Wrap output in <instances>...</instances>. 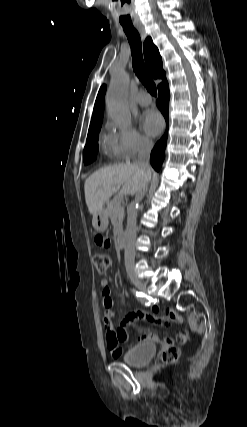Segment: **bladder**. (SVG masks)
Listing matches in <instances>:
<instances>
[{"mask_svg": "<svg viewBox=\"0 0 247 427\" xmlns=\"http://www.w3.org/2000/svg\"><path fill=\"white\" fill-rule=\"evenodd\" d=\"M156 345L151 342H141L131 347L122 356V360L133 367L148 364L156 354Z\"/></svg>", "mask_w": 247, "mask_h": 427, "instance_id": "1", "label": "bladder"}]
</instances>
